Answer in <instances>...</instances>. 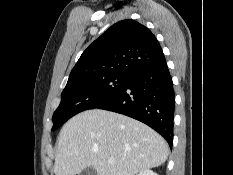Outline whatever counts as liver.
Returning a JSON list of instances; mask_svg holds the SVG:
<instances>
[{
  "mask_svg": "<svg viewBox=\"0 0 233 175\" xmlns=\"http://www.w3.org/2000/svg\"><path fill=\"white\" fill-rule=\"evenodd\" d=\"M168 153L166 141L144 123L92 109L72 117L60 131L54 173L76 175L94 167L97 175H135L162 165Z\"/></svg>",
  "mask_w": 233,
  "mask_h": 175,
  "instance_id": "obj_1",
  "label": "liver"
}]
</instances>
